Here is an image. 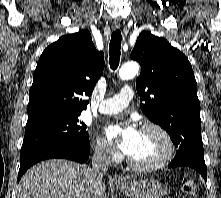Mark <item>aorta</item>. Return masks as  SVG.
<instances>
[{"instance_id": "1", "label": "aorta", "mask_w": 221, "mask_h": 198, "mask_svg": "<svg viewBox=\"0 0 221 198\" xmlns=\"http://www.w3.org/2000/svg\"><path fill=\"white\" fill-rule=\"evenodd\" d=\"M139 65L136 62L125 63L119 70V77L122 80H128L138 74Z\"/></svg>"}]
</instances>
